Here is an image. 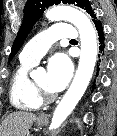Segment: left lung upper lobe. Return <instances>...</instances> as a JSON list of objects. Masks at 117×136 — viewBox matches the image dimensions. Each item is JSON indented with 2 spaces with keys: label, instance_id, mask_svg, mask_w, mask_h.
<instances>
[{
  "label": "left lung upper lobe",
  "instance_id": "5c2ea615",
  "mask_svg": "<svg viewBox=\"0 0 117 136\" xmlns=\"http://www.w3.org/2000/svg\"><path fill=\"white\" fill-rule=\"evenodd\" d=\"M61 2L79 6L86 10L91 18L96 17L94 9L89 1L86 0H28L24 7L23 22L13 43L9 60H11L18 52L34 23L42 16L43 11L53 4H59Z\"/></svg>",
  "mask_w": 117,
  "mask_h": 136
}]
</instances>
